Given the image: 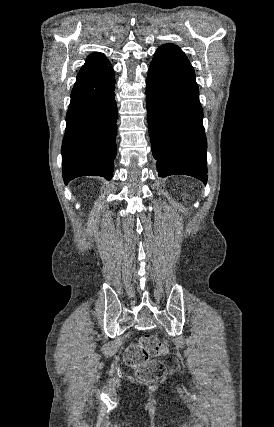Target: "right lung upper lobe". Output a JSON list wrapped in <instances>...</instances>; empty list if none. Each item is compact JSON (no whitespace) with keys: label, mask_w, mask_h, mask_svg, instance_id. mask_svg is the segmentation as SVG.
I'll return each mask as SVG.
<instances>
[{"label":"right lung upper lobe","mask_w":274,"mask_h":427,"mask_svg":"<svg viewBox=\"0 0 274 427\" xmlns=\"http://www.w3.org/2000/svg\"><path fill=\"white\" fill-rule=\"evenodd\" d=\"M107 64H109V61L100 53H93L87 58L81 70L96 68Z\"/></svg>","instance_id":"1"}]
</instances>
